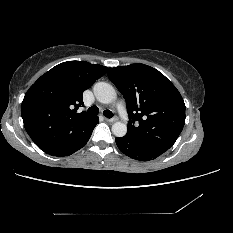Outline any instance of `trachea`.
I'll list each match as a JSON object with an SVG mask.
<instances>
[{"mask_svg": "<svg viewBox=\"0 0 233 233\" xmlns=\"http://www.w3.org/2000/svg\"><path fill=\"white\" fill-rule=\"evenodd\" d=\"M88 113H89V115H97L99 113V108L97 106H91L88 109ZM103 115L107 118L113 117V113L110 110H104Z\"/></svg>", "mask_w": 233, "mask_h": 233, "instance_id": "1", "label": "trachea"}]
</instances>
